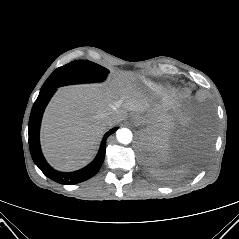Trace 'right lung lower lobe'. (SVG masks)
Instances as JSON below:
<instances>
[{
  "instance_id": "obj_1",
  "label": "right lung lower lobe",
  "mask_w": 239,
  "mask_h": 239,
  "mask_svg": "<svg viewBox=\"0 0 239 239\" xmlns=\"http://www.w3.org/2000/svg\"><path fill=\"white\" fill-rule=\"evenodd\" d=\"M55 91L56 89H51L39 93L32 107V111L29 118L30 152L35 164L48 178L60 184H76L90 179L99 171L105 157L106 139L115 131V129L109 131L104 136L99 152L95 160L91 164L81 170L70 173H63L54 170L47 164L41 153L39 144V129L43 111Z\"/></svg>"
}]
</instances>
